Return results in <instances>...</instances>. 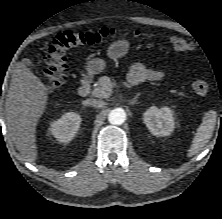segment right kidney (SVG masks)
Wrapping results in <instances>:
<instances>
[{"instance_id": "1", "label": "right kidney", "mask_w": 222, "mask_h": 219, "mask_svg": "<svg viewBox=\"0 0 222 219\" xmlns=\"http://www.w3.org/2000/svg\"><path fill=\"white\" fill-rule=\"evenodd\" d=\"M81 121L78 113L66 112L59 119L50 123L49 133L61 143L69 142L75 137Z\"/></svg>"}]
</instances>
